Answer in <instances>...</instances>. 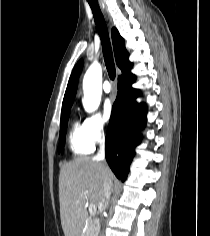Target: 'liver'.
I'll return each mask as SVG.
<instances>
[{"instance_id": "6515ba94", "label": "liver", "mask_w": 210, "mask_h": 236, "mask_svg": "<svg viewBox=\"0 0 210 236\" xmlns=\"http://www.w3.org/2000/svg\"><path fill=\"white\" fill-rule=\"evenodd\" d=\"M114 174L105 162L78 157L60 168L59 201L65 236H81L87 217L86 203L98 204L104 197V181Z\"/></svg>"}]
</instances>
